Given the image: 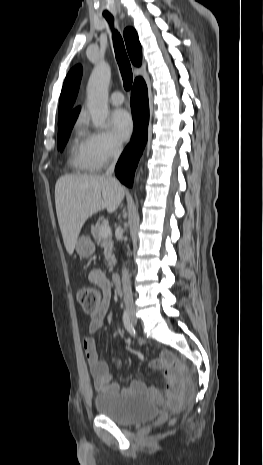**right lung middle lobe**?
Here are the masks:
<instances>
[{"label": "right lung middle lobe", "instance_id": "dd1d6c3e", "mask_svg": "<svg viewBox=\"0 0 263 465\" xmlns=\"http://www.w3.org/2000/svg\"><path fill=\"white\" fill-rule=\"evenodd\" d=\"M78 113L58 122V149L63 150L65 144L68 141L70 131L77 119Z\"/></svg>", "mask_w": 263, "mask_h": 465}]
</instances>
